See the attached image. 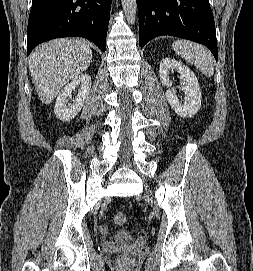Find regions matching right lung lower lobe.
Segmentation results:
<instances>
[{
	"label": "right lung lower lobe",
	"mask_w": 253,
	"mask_h": 271,
	"mask_svg": "<svg viewBox=\"0 0 253 271\" xmlns=\"http://www.w3.org/2000/svg\"><path fill=\"white\" fill-rule=\"evenodd\" d=\"M112 0H33L27 30V56L40 43L79 36L102 51Z\"/></svg>",
	"instance_id": "1"
}]
</instances>
